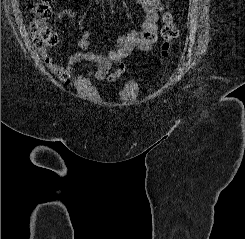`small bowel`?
<instances>
[{"label": "small bowel", "mask_w": 245, "mask_h": 239, "mask_svg": "<svg viewBox=\"0 0 245 239\" xmlns=\"http://www.w3.org/2000/svg\"><path fill=\"white\" fill-rule=\"evenodd\" d=\"M135 1L141 5L145 13L140 32L130 31L121 36L117 39L113 50L107 55H101L92 51L91 33L86 31L78 40V45L82 51L69 56L65 65L44 54L42 59L46 66L54 75L67 84L88 79L97 81L106 80L109 83H115L125 72V65L122 60L132 51L147 52L151 50L157 39L158 22L163 11L161 0ZM76 16L77 12L73 8H64L56 12V18L59 19H74ZM83 61L94 64L95 69L73 76V73Z\"/></svg>", "instance_id": "obj_1"}]
</instances>
